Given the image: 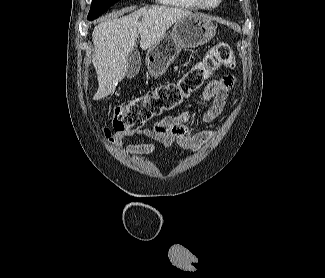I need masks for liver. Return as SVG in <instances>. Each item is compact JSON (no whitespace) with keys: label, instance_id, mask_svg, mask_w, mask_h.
I'll use <instances>...</instances> for the list:
<instances>
[{"label":"liver","instance_id":"6515ba94","mask_svg":"<svg viewBox=\"0 0 325 278\" xmlns=\"http://www.w3.org/2000/svg\"><path fill=\"white\" fill-rule=\"evenodd\" d=\"M133 8L112 15L99 23L92 32L94 43L93 66L99 83L94 100L113 93L127 73V59L140 35L143 50L155 45L171 25L178 20L194 16L191 11L180 7L152 5L142 7L126 16Z\"/></svg>","mask_w":325,"mask_h":278}]
</instances>
